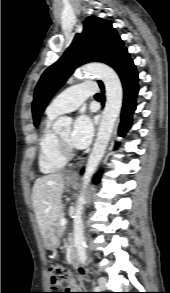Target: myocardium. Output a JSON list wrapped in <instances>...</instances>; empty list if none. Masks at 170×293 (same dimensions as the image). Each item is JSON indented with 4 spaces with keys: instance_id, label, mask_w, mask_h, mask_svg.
Listing matches in <instances>:
<instances>
[{
    "instance_id": "myocardium-1",
    "label": "myocardium",
    "mask_w": 170,
    "mask_h": 293,
    "mask_svg": "<svg viewBox=\"0 0 170 293\" xmlns=\"http://www.w3.org/2000/svg\"><path fill=\"white\" fill-rule=\"evenodd\" d=\"M55 139H56V147L59 154L66 159H69L73 156V150L71 146L63 141L57 133H55Z\"/></svg>"
}]
</instances>
